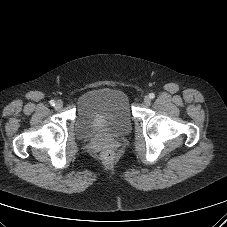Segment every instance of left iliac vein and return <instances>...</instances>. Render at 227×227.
I'll return each mask as SVG.
<instances>
[{"mask_svg":"<svg viewBox=\"0 0 227 227\" xmlns=\"http://www.w3.org/2000/svg\"><path fill=\"white\" fill-rule=\"evenodd\" d=\"M144 103H145L146 105H150L151 99H150L149 96H145V97H144Z\"/></svg>","mask_w":227,"mask_h":227,"instance_id":"1","label":"left iliac vein"}]
</instances>
